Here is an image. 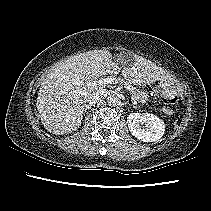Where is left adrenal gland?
Masks as SVG:
<instances>
[{"label":"left adrenal gland","mask_w":211,"mask_h":211,"mask_svg":"<svg viewBox=\"0 0 211 211\" xmlns=\"http://www.w3.org/2000/svg\"><path fill=\"white\" fill-rule=\"evenodd\" d=\"M133 108H137V107L133 105Z\"/></svg>","instance_id":"left-adrenal-gland-1"}]
</instances>
